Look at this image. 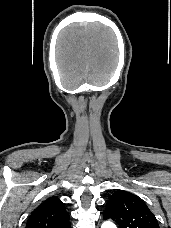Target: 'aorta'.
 I'll list each match as a JSON object with an SVG mask.
<instances>
[{"instance_id":"obj_1","label":"aorta","mask_w":171,"mask_h":228,"mask_svg":"<svg viewBox=\"0 0 171 228\" xmlns=\"http://www.w3.org/2000/svg\"><path fill=\"white\" fill-rule=\"evenodd\" d=\"M101 228H116L115 224L111 221H105Z\"/></svg>"}]
</instances>
